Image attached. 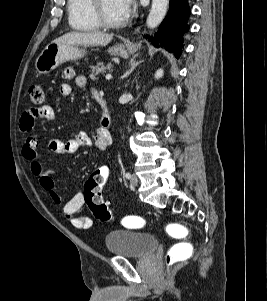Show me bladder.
Listing matches in <instances>:
<instances>
[{"label":"bladder","instance_id":"bladder-1","mask_svg":"<svg viewBox=\"0 0 267 301\" xmlns=\"http://www.w3.org/2000/svg\"><path fill=\"white\" fill-rule=\"evenodd\" d=\"M105 246L115 256L145 258L157 250L159 239L149 233L114 230L105 236Z\"/></svg>","mask_w":267,"mask_h":301}]
</instances>
